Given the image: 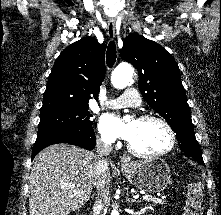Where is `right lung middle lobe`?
<instances>
[{
  "label": "right lung middle lobe",
  "instance_id": "1",
  "mask_svg": "<svg viewBox=\"0 0 221 215\" xmlns=\"http://www.w3.org/2000/svg\"><path fill=\"white\" fill-rule=\"evenodd\" d=\"M88 109L89 106L40 115L38 135L68 129L81 130L91 128L92 121L90 118L92 114Z\"/></svg>",
  "mask_w": 221,
  "mask_h": 215
}]
</instances>
